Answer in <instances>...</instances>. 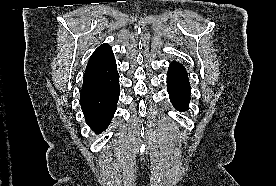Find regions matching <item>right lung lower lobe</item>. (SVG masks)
I'll return each mask as SVG.
<instances>
[{
    "instance_id": "1",
    "label": "right lung lower lobe",
    "mask_w": 276,
    "mask_h": 186,
    "mask_svg": "<svg viewBox=\"0 0 276 186\" xmlns=\"http://www.w3.org/2000/svg\"><path fill=\"white\" fill-rule=\"evenodd\" d=\"M120 94L119 75L94 85H83L80 103L86 123L95 133L104 131L116 111Z\"/></svg>"
}]
</instances>
